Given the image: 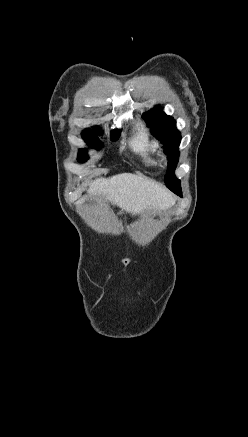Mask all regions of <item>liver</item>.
Masks as SVG:
<instances>
[{
  "label": "liver",
  "instance_id": "liver-1",
  "mask_svg": "<svg viewBox=\"0 0 248 437\" xmlns=\"http://www.w3.org/2000/svg\"><path fill=\"white\" fill-rule=\"evenodd\" d=\"M88 193L89 197L103 196L131 214L166 210L175 204V199L166 188L130 173L96 179L89 186Z\"/></svg>",
  "mask_w": 248,
  "mask_h": 437
}]
</instances>
